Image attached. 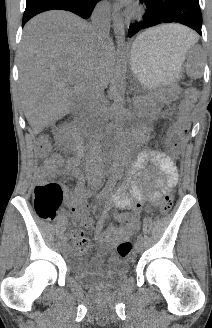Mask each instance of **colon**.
<instances>
[{"label": "colon", "instance_id": "5ec220e1", "mask_svg": "<svg viewBox=\"0 0 212 328\" xmlns=\"http://www.w3.org/2000/svg\"><path fill=\"white\" fill-rule=\"evenodd\" d=\"M198 98V91L194 87L186 90L181 108L184 112H189ZM188 122L186 119L179 120L171 130V136L168 142L170 152L177 156L181 152L182 141L188 131ZM49 142L42 139L37 147L38 154L44 157L49 151ZM63 201V188L56 182H42L34 187L33 204L36 214L43 220H53L60 209ZM173 206V194L169 191L161 205V213L166 215ZM80 234H73L74 244L80 241ZM117 252L122 258L132 259V244L129 240H122L117 245Z\"/></svg>", "mask_w": 212, "mask_h": 328}]
</instances>
